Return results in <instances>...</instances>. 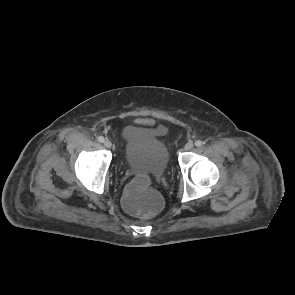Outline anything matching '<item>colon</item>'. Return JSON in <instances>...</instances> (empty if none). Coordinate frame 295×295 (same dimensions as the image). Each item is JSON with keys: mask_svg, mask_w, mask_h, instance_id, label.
Here are the masks:
<instances>
[{"mask_svg": "<svg viewBox=\"0 0 295 295\" xmlns=\"http://www.w3.org/2000/svg\"><path fill=\"white\" fill-rule=\"evenodd\" d=\"M121 205L138 218L155 215L162 206L161 195L153 189L152 182L143 175L135 176L120 197Z\"/></svg>", "mask_w": 295, "mask_h": 295, "instance_id": "obj_1", "label": "colon"}]
</instances>
